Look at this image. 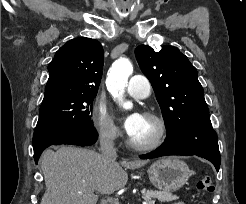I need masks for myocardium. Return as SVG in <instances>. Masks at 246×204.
<instances>
[{"instance_id": "f54148a6", "label": "myocardium", "mask_w": 246, "mask_h": 204, "mask_svg": "<svg viewBox=\"0 0 246 204\" xmlns=\"http://www.w3.org/2000/svg\"><path fill=\"white\" fill-rule=\"evenodd\" d=\"M143 116L155 122L157 126L155 137L149 142L138 143L129 136L127 145L137 151H152L160 147L164 142L167 134V124L165 119L156 112L147 111Z\"/></svg>"}]
</instances>
